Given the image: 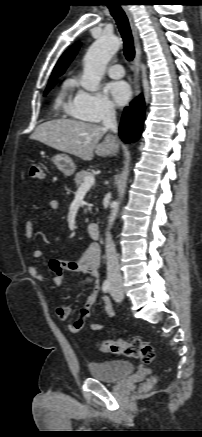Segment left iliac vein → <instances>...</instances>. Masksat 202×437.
<instances>
[{"mask_svg":"<svg viewBox=\"0 0 202 437\" xmlns=\"http://www.w3.org/2000/svg\"><path fill=\"white\" fill-rule=\"evenodd\" d=\"M111 295L116 302H121L123 300V292L116 288H112Z\"/></svg>","mask_w":202,"mask_h":437,"instance_id":"left-iliac-vein-1","label":"left iliac vein"}]
</instances>
